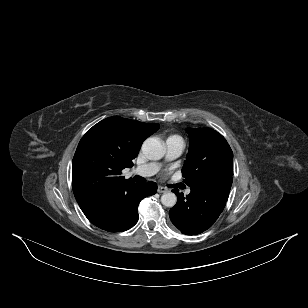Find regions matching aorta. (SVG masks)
Returning <instances> with one entry per match:
<instances>
[{
	"instance_id": "1",
	"label": "aorta",
	"mask_w": 308,
	"mask_h": 308,
	"mask_svg": "<svg viewBox=\"0 0 308 308\" xmlns=\"http://www.w3.org/2000/svg\"><path fill=\"white\" fill-rule=\"evenodd\" d=\"M142 152L149 160H159L164 156L165 148L156 138H148L142 144ZM161 202L166 207H173L177 197L172 192H165L161 196Z\"/></svg>"
}]
</instances>
